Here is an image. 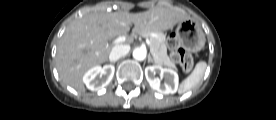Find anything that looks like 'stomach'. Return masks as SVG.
Listing matches in <instances>:
<instances>
[{
  "label": "stomach",
  "mask_w": 276,
  "mask_h": 120,
  "mask_svg": "<svg viewBox=\"0 0 276 120\" xmlns=\"http://www.w3.org/2000/svg\"><path fill=\"white\" fill-rule=\"evenodd\" d=\"M177 41L190 52H198L205 45V35L191 19L181 21L175 32Z\"/></svg>",
  "instance_id": "1"
}]
</instances>
